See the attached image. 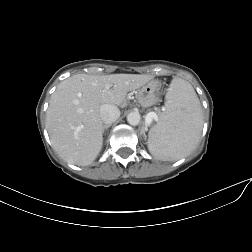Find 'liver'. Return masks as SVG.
I'll use <instances>...</instances> for the list:
<instances>
[{
  "instance_id": "liver-1",
  "label": "liver",
  "mask_w": 252,
  "mask_h": 252,
  "mask_svg": "<svg viewBox=\"0 0 252 252\" xmlns=\"http://www.w3.org/2000/svg\"><path fill=\"white\" fill-rule=\"evenodd\" d=\"M149 75L77 74L61 82L52 94L46 116L51 144L66 162L86 166L103 147L100 106H122L127 93L141 88Z\"/></svg>"
}]
</instances>
